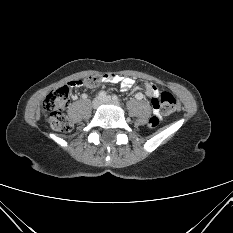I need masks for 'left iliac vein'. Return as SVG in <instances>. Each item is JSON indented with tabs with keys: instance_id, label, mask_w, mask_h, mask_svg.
I'll use <instances>...</instances> for the list:
<instances>
[{
	"instance_id": "obj_1",
	"label": "left iliac vein",
	"mask_w": 233,
	"mask_h": 233,
	"mask_svg": "<svg viewBox=\"0 0 233 233\" xmlns=\"http://www.w3.org/2000/svg\"><path fill=\"white\" fill-rule=\"evenodd\" d=\"M103 102L110 103V102H114V101L112 100V98L110 96H106L105 98H103Z\"/></svg>"
}]
</instances>
